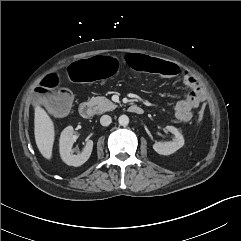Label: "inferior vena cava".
<instances>
[{
    "label": "inferior vena cava",
    "mask_w": 241,
    "mask_h": 241,
    "mask_svg": "<svg viewBox=\"0 0 241 241\" xmlns=\"http://www.w3.org/2000/svg\"><path fill=\"white\" fill-rule=\"evenodd\" d=\"M112 122V119L109 115H103L101 118H100V123L102 126H108L110 125Z\"/></svg>",
    "instance_id": "1"
}]
</instances>
